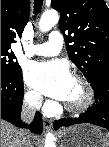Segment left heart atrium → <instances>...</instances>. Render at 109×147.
<instances>
[{
	"mask_svg": "<svg viewBox=\"0 0 109 147\" xmlns=\"http://www.w3.org/2000/svg\"><path fill=\"white\" fill-rule=\"evenodd\" d=\"M28 85L40 93L57 100H64L72 76L61 61L34 62L24 72Z\"/></svg>",
	"mask_w": 109,
	"mask_h": 147,
	"instance_id": "39dd6f15",
	"label": "left heart atrium"
}]
</instances>
